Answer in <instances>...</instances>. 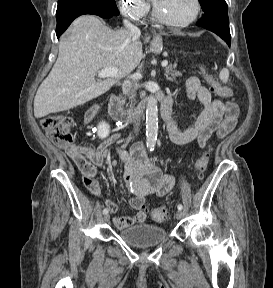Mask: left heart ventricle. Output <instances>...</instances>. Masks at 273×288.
<instances>
[{"instance_id": "b2bd125f", "label": "left heart ventricle", "mask_w": 273, "mask_h": 288, "mask_svg": "<svg viewBox=\"0 0 273 288\" xmlns=\"http://www.w3.org/2000/svg\"><path fill=\"white\" fill-rule=\"evenodd\" d=\"M159 12L172 21H184L192 16L195 10L194 0H154Z\"/></svg>"}]
</instances>
